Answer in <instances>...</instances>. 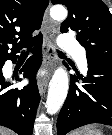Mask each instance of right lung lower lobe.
I'll use <instances>...</instances> for the list:
<instances>
[{
  "label": "right lung lower lobe",
  "mask_w": 112,
  "mask_h": 135,
  "mask_svg": "<svg viewBox=\"0 0 112 135\" xmlns=\"http://www.w3.org/2000/svg\"><path fill=\"white\" fill-rule=\"evenodd\" d=\"M29 48H32L33 55L26 61L20 73L30 78V83L23 89L9 88L11 83L6 82L2 74L5 61L0 63V125L19 135H32L40 101L35 74L42 63V39L31 44ZM9 59L12 60V57Z\"/></svg>",
  "instance_id": "obj_1"
}]
</instances>
